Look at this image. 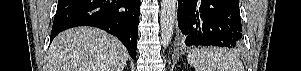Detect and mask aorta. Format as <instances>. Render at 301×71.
Wrapping results in <instances>:
<instances>
[{
	"label": "aorta",
	"mask_w": 301,
	"mask_h": 71,
	"mask_svg": "<svg viewBox=\"0 0 301 71\" xmlns=\"http://www.w3.org/2000/svg\"><path fill=\"white\" fill-rule=\"evenodd\" d=\"M177 2V0H161L160 36L164 47H167L172 39Z\"/></svg>",
	"instance_id": "obj_1"
}]
</instances>
